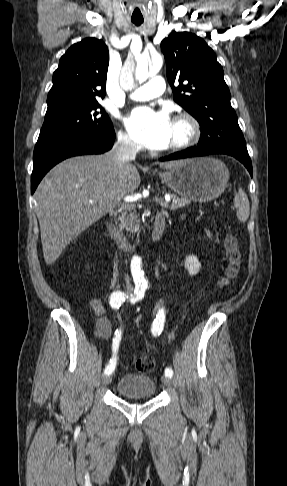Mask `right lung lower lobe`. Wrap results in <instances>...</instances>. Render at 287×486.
I'll return each mask as SVG.
<instances>
[{
  "label": "right lung lower lobe",
  "mask_w": 287,
  "mask_h": 486,
  "mask_svg": "<svg viewBox=\"0 0 287 486\" xmlns=\"http://www.w3.org/2000/svg\"><path fill=\"white\" fill-rule=\"evenodd\" d=\"M115 139L113 127L107 132L90 138H69L37 143L33 153L31 193L43 176L62 160L84 154H101L110 150Z\"/></svg>",
  "instance_id": "98d812e1"
}]
</instances>
